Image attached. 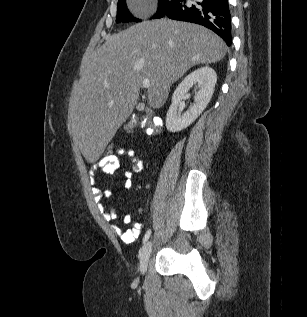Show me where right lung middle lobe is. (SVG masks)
<instances>
[{"mask_svg":"<svg viewBox=\"0 0 307 317\" xmlns=\"http://www.w3.org/2000/svg\"><path fill=\"white\" fill-rule=\"evenodd\" d=\"M176 0H158V10L157 13L152 18H158L163 12H165L169 7H171ZM129 21H141L140 19L134 18L129 10L125 0L118 1L117 6V17L116 22H129Z\"/></svg>","mask_w":307,"mask_h":317,"instance_id":"obj_1","label":"right lung middle lobe"}]
</instances>
